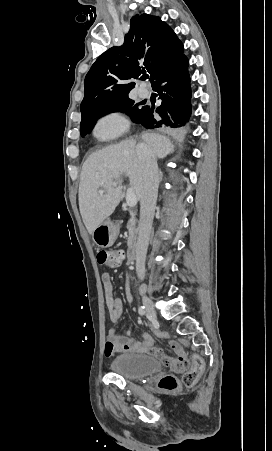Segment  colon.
<instances>
[{"mask_svg": "<svg viewBox=\"0 0 272 451\" xmlns=\"http://www.w3.org/2000/svg\"><path fill=\"white\" fill-rule=\"evenodd\" d=\"M124 257L122 250L115 251H100L95 254V261L102 265L117 267L120 265ZM172 350H176L178 345L173 344ZM157 358L163 364V367H175V371L181 374L185 371L184 384L190 386L195 381V374H203L205 360L204 358H187L183 356L182 352L177 354L176 358H171L164 353H159ZM178 382L174 375H165L159 380V388L161 390L170 391L173 390Z\"/></svg>", "mask_w": 272, "mask_h": 451, "instance_id": "1", "label": "colon"}]
</instances>
